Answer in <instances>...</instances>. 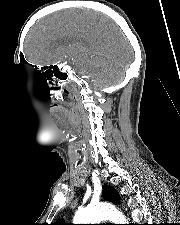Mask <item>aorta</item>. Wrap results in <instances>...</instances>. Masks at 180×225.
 I'll use <instances>...</instances> for the list:
<instances>
[{
	"instance_id": "obj_1",
	"label": "aorta",
	"mask_w": 180,
	"mask_h": 225,
	"mask_svg": "<svg viewBox=\"0 0 180 225\" xmlns=\"http://www.w3.org/2000/svg\"><path fill=\"white\" fill-rule=\"evenodd\" d=\"M103 220H110L115 224H128L125 216L120 211L113 205L104 203L78 209L73 222L74 224H98Z\"/></svg>"
}]
</instances>
